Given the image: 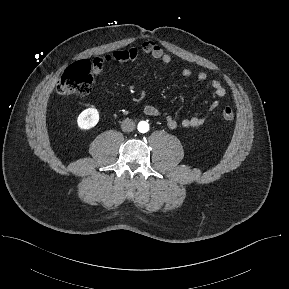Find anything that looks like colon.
Wrapping results in <instances>:
<instances>
[{
	"label": "colon",
	"mask_w": 289,
	"mask_h": 289,
	"mask_svg": "<svg viewBox=\"0 0 289 289\" xmlns=\"http://www.w3.org/2000/svg\"><path fill=\"white\" fill-rule=\"evenodd\" d=\"M93 85L91 64L82 60L68 67L57 83V91L62 95L84 96L88 94ZM224 120L232 121L234 111L231 107H224L221 111Z\"/></svg>",
	"instance_id": "obj_1"
}]
</instances>
